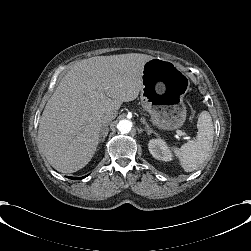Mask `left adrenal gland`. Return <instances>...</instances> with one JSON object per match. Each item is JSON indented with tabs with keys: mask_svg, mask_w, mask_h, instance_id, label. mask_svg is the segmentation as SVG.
Segmentation results:
<instances>
[{
	"mask_svg": "<svg viewBox=\"0 0 251 251\" xmlns=\"http://www.w3.org/2000/svg\"><path fill=\"white\" fill-rule=\"evenodd\" d=\"M141 122L145 125V130L147 131V134L148 135H150V134H155L156 136H158V134L155 132V131H153L150 127H149V125H148V123L145 121V118L144 117H142L141 118Z\"/></svg>",
	"mask_w": 251,
	"mask_h": 251,
	"instance_id": "left-adrenal-gland-1",
	"label": "left adrenal gland"
}]
</instances>
